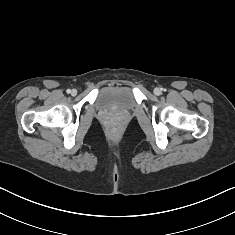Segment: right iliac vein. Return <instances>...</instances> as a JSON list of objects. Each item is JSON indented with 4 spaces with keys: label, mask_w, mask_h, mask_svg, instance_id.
Listing matches in <instances>:
<instances>
[{
    "label": "right iliac vein",
    "mask_w": 235,
    "mask_h": 235,
    "mask_svg": "<svg viewBox=\"0 0 235 235\" xmlns=\"http://www.w3.org/2000/svg\"><path fill=\"white\" fill-rule=\"evenodd\" d=\"M71 95H72V96H76V95H77V90H76V89H73V90L71 91Z\"/></svg>",
    "instance_id": "1"
}]
</instances>
